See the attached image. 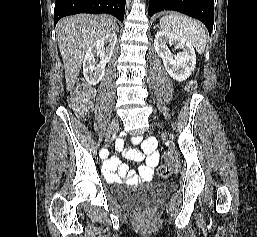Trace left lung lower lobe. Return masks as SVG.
I'll list each match as a JSON object with an SVG mask.
<instances>
[{"instance_id": "1", "label": "left lung lower lobe", "mask_w": 257, "mask_h": 237, "mask_svg": "<svg viewBox=\"0 0 257 237\" xmlns=\"http://www.w3.org/2000/svg\"><path fill=\"white\" fill-rule=\"evenodd\" d=\"M174 10L202 21L211 34L214 23V0H149L150 16L162 11Z\"/></svg>"}]
</instances>
